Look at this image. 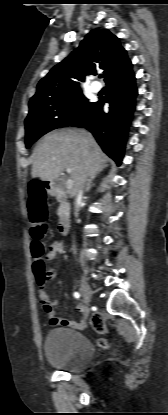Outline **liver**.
<instances>
[{
  "label": "liver",
  "instance_id": "obj_1",
  "mask_svg": "<svg viewBox=\"0 0 168 415\" xmlns=\"http://www.w3.org/2000/svg\"><path fill=\"white\" fill-rule=\"evenodd\" d=\"M107 156L84 129L63 128L46 134L35 149L31 176L54 181L67 168L73 181L71 195L85 180L102 170Z\"/></svg>",
  "mask_w": 168,
  "mask_h": 415
}]
</instances>
